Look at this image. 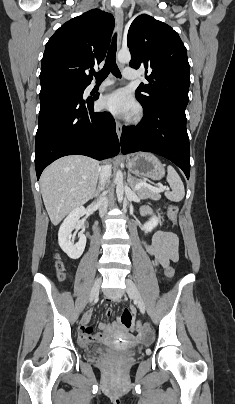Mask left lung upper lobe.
Returning <instances> with one entry per match:
<instances>
[{
  "instance_id": "obj_1",
  "label": "left lung upper lobe",
  "mask_w": 235,
  "mask_h": 404,
  "mask_svg": "<svg viewBox=\"0 0 235 404\" xmlns=\"http://www.w3.org/2000/svg\"><path fill=\"white\" fill-rule=\"evenodd\" d=\"M127 46L130 67L145 68L148 84H140L136 98L144 109L160 104L186 107L190 85L187 50L169 25L141 14L131 23Z\"/></svg>"
}]
</instances>
